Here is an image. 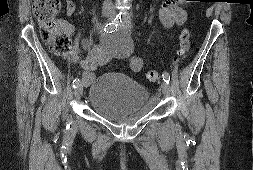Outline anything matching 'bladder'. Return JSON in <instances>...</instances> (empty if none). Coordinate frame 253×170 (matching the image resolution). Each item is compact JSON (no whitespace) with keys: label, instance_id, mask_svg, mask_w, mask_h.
I'll list each match as a JSON object with an SVG mask.
<instances>
[{"label":"bladder","instance_id":"obj_1","mask_svg":"<svg viewBox=\"0 0 253 170\" xmlns=\"http://www.w3.org/2000/svg\"><path fill=\"white\" fill-rule=\"evenodd\" d=\"M149 89L121 72H104L90 85L88 104L101 117L113 123L140 116L147 110Z\"/></svg>","mask_w":253,"mask_h":170}]
</instances>
